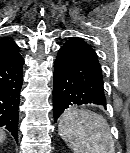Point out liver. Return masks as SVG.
Wrapping results in <instances>:
<instances>
[{"mask_svg":"<svg viewBox=\"0 0 130 153\" xmlns=\"http://www.w3.org/2000/svg\"><path fill=\"white\" fill-rule=\"evenodd\" d=\"M5 138H6L5 132L2 129H0V144L5 140Z\"/></svg>","mask_w":130,"mask_h":153,"instance_id":"6515ba94","label":"liver"}]
</instances>
